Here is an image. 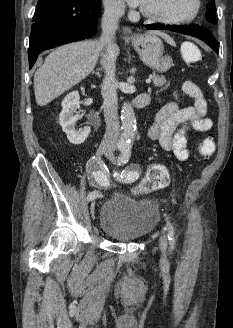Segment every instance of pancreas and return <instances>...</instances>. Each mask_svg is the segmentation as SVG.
Masks as SVG:
<instances>
[{
    "label": "pancreas",
    "instance_id": "1",
    "mask_svg": "<svg viewBox=\"0 0 233 328\" xmlns=\"http://www.w3.org/2000/svg\"><path fill=\"white\" fill-rule=\"evenodd\" d=\"M150 78L153 80V84L156 87H162L164 84L167 83L166 78L162 75L160 76L157 74H152V75H150Z\"/></svg>",
    "mask_w": 233,
    "mask_h": 328
}]
</instances>
